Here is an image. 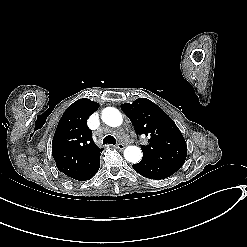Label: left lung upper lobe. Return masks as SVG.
<instances>
[{"label":"left lung upper lobe","instance_id":"5c2ea615","mask_svg":"<svg viewBox=\"0 0 247 247\" xmlns=\"http://www.w3.org/2000/svg\"><path fill=\"white\" fill-rule=\"evenodd\" d=\"M137 134L149 137L141 146L144 156H152L180 168L186 159L187 145L175 122L155 103L139 98L121 105Z\"/></svg>","mask_w":247,"mask_h":247}]
</instances>
